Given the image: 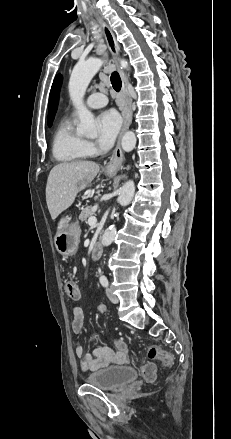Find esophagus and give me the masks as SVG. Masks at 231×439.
Returning <instances> with one entry per match:
<instances>
[{"label": "esophagus", "mask_w": 231, "mask_h": 439, "mask_svg": "<svg viewBox=\"0 0 231 439\" xmlns=\"http://www.w3.org/2000/svg\"><path fill=\"white\" fill-rule=\"evenodd\" d=\"M97 19L101 24L108 48L111 54L113 55V57L117 59L120 54V45L117 42L116 37L112 32V30L109 28V26L99 16H97ZM117 69L122 80V91L126 99V108L124 110V124L120 132L117 145L113 151L110 161L107 163L105 167V170L109 173H116L120 169L123 163L124 156L121 149V138L132 122V107H131L132 98L128 92L127 77L124 71L122 70V68L118 64H117Z\"/></svg>", "instance_id": "34e87169"}]
</instances>
